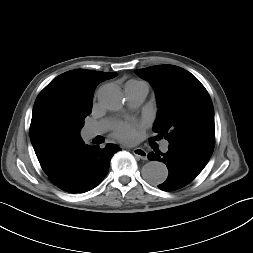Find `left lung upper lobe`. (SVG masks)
<instances>
[{
  "instance_id": "left-lung-upper-lobe-1",
  "label": "left lung upper lobe",
  "mask_w": 253,
  "mask_h": 253,
  "mask_svg": "<svg viewBox=\"0 0 253 253\" xmlns=\"http://www.w3.org/2000/svg\"><path fill=\"white\" fill-rule=\"evenodd\" d=\"M153 86L158 116L153 139L186 141L211 149L215 145L214 108L211 98L190 72L173 65H158L137 70Z\"/></svg>"
}]
</instances>
